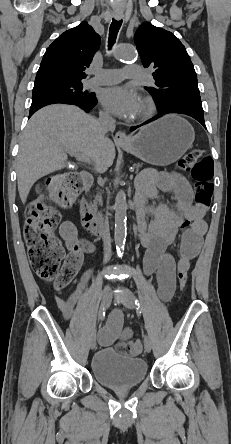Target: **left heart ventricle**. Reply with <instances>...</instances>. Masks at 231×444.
<instances>
[{
    "label": "left heart ventricle",
    "instance_id": "1",
    "mask_svg": "<svg viewBox=\"0 0 231 444\" xmlns=\"http://www.w3.org/2000/svg\"><path fill=\"white\" fill-rule=\"evenodd\" d=\"M140 108H141V105H139V109H138V112H139Z\"/></svg>",
    "mask_w": 231,
    "mask_h": 444
}]
</instances>
